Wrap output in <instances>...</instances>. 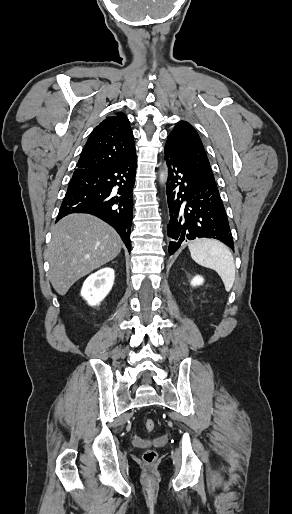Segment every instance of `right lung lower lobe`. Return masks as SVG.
<instances>
[{"label":"right lung lower lobe","mask_w":292,"mask_h":514,"mask_svg":"<svg viewBox=\"0 0 292 514\" xmlns=\"http://www.w3.org/2000/svg\"><path fill=\"white\" fill-rule=\"evenodd\" d=\"M136 155L113 166L75 170L56 221L71 213H89L111 225L130 251Z\"/></svg>","instance_id":"obj_1"}]
</instances>
